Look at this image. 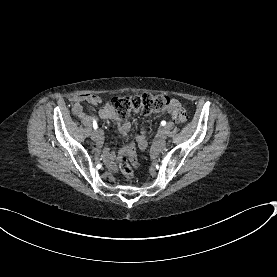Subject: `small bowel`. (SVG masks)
Wrapping results in <instances>:
<instances>
[{"instance_id":"small-bowel-1","label":"small bowel","mask_w":277,"mask_h":277,"mask_svg":"<svg viewBox=\"0 0 277 277\" xmlns=\"http://www.w3.org/2000/svg\"><path fill=\"white\" fill-rule=\"evenodd\" d=\"M88 101L91 104L98 105L101 103V100L97 96H91L88 92H82L80 93L79 97H76L74 99L75 104L72 108V112L82 121L89 122L91 121V117L86 114L83 110V107L80 105V102L82 101ZM181 107L180 102L176 99H173L170 103V112L171 114H174L177 110H179ZM99 117L103 120H111L114 121L117 127V131L122 139H125L131 130V122L127 119L120 118L111 103L107 102L104 104V106L99 111ZM137 141L142 149H145L148 143L147 136L145 132L142 130L140 134L137 136ZM102 153L106 154V162H114L115 159H118V161H122V158H119V156H114L113 152H109L108 147L102 148ZM108 166H111V163H108ZM112 170H115V167H112Z\"/></svg>"}]
</instances>
